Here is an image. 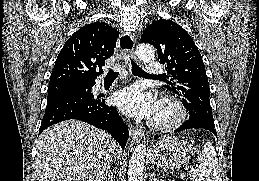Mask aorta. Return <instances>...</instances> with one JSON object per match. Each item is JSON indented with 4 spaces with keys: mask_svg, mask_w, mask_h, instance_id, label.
<instances>
[{
    "mask_svg": "<svg viewBox=\"0 0 259 181\" xmlns=\"http://www.w3.org/2000/svg\"><path fill=\"white\" fill-rule=\"evenodd\" d=\"M137 56L143 61L154 59V51L150 45L141 44L136 50ZM146 146L139 144L133 150L128 169V181H143Z\"/></svg>",
    "mask_w": 259,
    "mask_h": 181,
    "instance_id": "obj_1",
    "label": "aorta"
}]
</instances>
